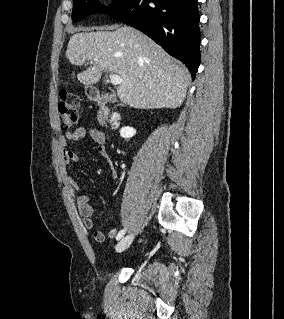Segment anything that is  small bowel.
<instances>
[{
    "label": "small bowel",
    "mask_w": 284,
    "mask_h": 319,
    "mask_svg": "<svg viewBox=\"0 0 284 319\" xmlns=\"http://www.w3.org/2000/svg\"><path fill=\"white\" fill-rule=\"evenodd\" d=\"M90 137L91 140L97 145V151L99 155L107 158V150L105 147L106 135L103 131L98 128H89L86 129L84 127H77L72 131H68L61 138L60 142L63 146H66L69 141H80L84 137ZM63 160L65 163L70 164L79 161V155L68 149H64L63 151ZM116 173L113 172V177H115ZM68 183L73 190H79L78 182L73 178H68ZM77 208L82 216L83 225L86 229H92L94 226L92 216L94 214V207L90 202V198L86 194H81L77 197ZM117 228H112L108 232V236L113 238L117 236ZM106 238V235L102 231L94 232V239L97 242H103Z\"/></svg>",
    "instance_id": "small-bowel-1"
}]
</instances>
